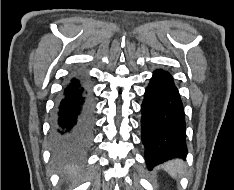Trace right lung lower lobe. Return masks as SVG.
<instances>
[{"mask_svg": "<svg viewBox=\"0 0 234 190\" xmlns=\"http://www.w3.org/2000/svg\"><path fill=\"white\" fill-rule=\"evenodd\" d=\"M94 126L93 102L82 81L72 78L57 103L53 121L54 147L74 151L86 146Z\"/></svg>", "mask_w": 234, "mask_h": 190, "instance_id": "right-lung-lower-lobe-1", "label": "right lung lower lobe"}]
</instances>
